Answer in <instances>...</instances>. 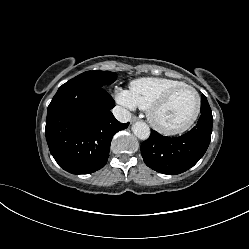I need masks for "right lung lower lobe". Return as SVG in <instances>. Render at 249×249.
Masks as SVG:
<instances>
[{"label": "right lung lower lobe", "mask_w": 249, "mask_h": 249, "mask_svg": "<svg viewBox=\"0 0 249 249\" xmlns=\"http://www.w3.org/2000/svg\"><path fill=\"white\" fill-rule=\"evenodd\" d=\"M113 98L96 84L69 80L53 97L47 110L45 134L56 162L73 174L102 168L113 136L126 129L111 113Z\"/></svg>", "instance_id": "right-lung-lower-lobe-1"}]
</instances>
